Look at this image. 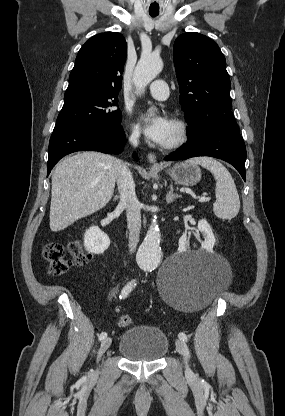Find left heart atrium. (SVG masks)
<instances>
[{
	"mask_svg": "<svg viewBox=\"0 0 285 416\" xmlns=\"http://www.w3.org/2000/svg\"><path fill=\"white\" fill-rule=\"evenodd\" d=\"M142 122L149 140L159 145L165 144L172 130L171 120L166 115L145 113L142 115Z\"/></svg>",
	"mask_w": 285,
	"mask_h": 416,
	"instance_id": "1",
	"label": "left heart atrium"
}]
</instances>
